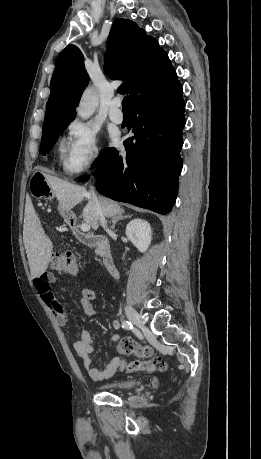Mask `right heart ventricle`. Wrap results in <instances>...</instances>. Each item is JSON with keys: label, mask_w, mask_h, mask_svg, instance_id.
<instances>
[{"label": "right heart ventricle", "mask_w": 261, "mask_h": 459, "mask_svg": "<svg viewBox=\"0 0 261 459\" xmlns=\"http://www.w3.org/2000/svg\"><path fill=\"white\" fill-rule=\"evenodd\" d=\"M67 147H66V144L64 142H61L60 145H59V152L60 153H65L67 151Z\"/></svg>", "instance_id": "right-heart-ventricle-1"}]
</instances>
